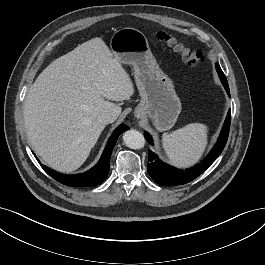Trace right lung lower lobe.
Masks as SVG:
<instances>
[{
  "mask_svg": "<svg viewBox=\"0 0 265 265\" xmlns=\"http://www.w3.org/2000/svg\"><path fill=\"white\" fill-rule=\"evenodd\" d=\"M129 127L121 124L109 138L99 162L85 173L65 175L57 173L41 164L42 168L56 181L72 187H93L101 184L109 173L110 157L118 136Z\"/></svg>",
  "mask_w": 265,
  "mask_h": 265,
  "instance_id": "98d812e1",
  "label": "right lung lower lobe"
}]
</instances>
